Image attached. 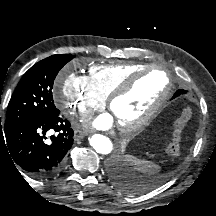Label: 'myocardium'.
Returning <instances> with one entry per match:
<instances>
[{"label": "myocardium", "mask_w": 216, "mask_h": 216, "mask_svg": "<svg viewBox=\"0 0 216 216\" xmlns=\"http://www.w3.org/2000/svg\"><path fill=\"white\" fill-rule=\"evenodd\" d=\"M155 71L161 72L166 76L167 86L165 90L157 98V100L151 105V107L147 110V112L143 116H141L139 119L133 122H129V123L118 124V128L120 129L122 133H125V134L134 133L142 129L153 119V117L159 112V110L162 108V106L165 104V102L168 100L171 94V91L173 88L172 78L166 71L158 67H155V66L142 67L138 69L137 71L131 73L108 96L107 106H108V109L111 111L115 101L128 95L133 90L134 86L140 79H142L146 75L152 72H155Z\"/></svg>", "instance_id": "myocardium-1"}]
</instances>
